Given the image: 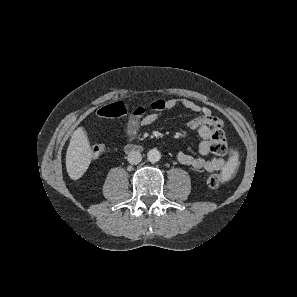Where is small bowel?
Listing matches in <instances>:
<instances>
[{"label": "small bowel", "instance_id": "obj_1", "mask_svg": "<svg viewBox=\"0 0 297 297\" xmlns=\"http://www.w3.org/2000/svg\"><path fill=\"white\" fill-rule=\"evenodd\" d=\"M176 107H182L197 113L187 121V127L190 130L197 131L201 138L198 146V156L190 155L184 151L177 154L178 161L197 171H206L208 173L222 171L226 166L224 158L206 159V155L210 153L213 127L221 121L212 115L207 107H203L198 103L183 97H175L170 99H155L149 104V112L146 108L143 112L132 114L128 117L125 125V132L128 139L132 140L137 136L141 126L153 124L160 115ZM222 124V123H221Z\"/></svg>", "mask_w": 297, "mask_h": 297}]
</instances>
